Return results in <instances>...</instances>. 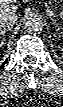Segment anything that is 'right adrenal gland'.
Segmentation results:
<instances>
[{"mask_svg": "<svg viewBox=\"0 0 63 107\" xmlns=\"http://www.w3.org/2000/svg\"><path fill=\"white\" fill-rule=\"evenodd\" d=\"M11 28H4L3 30H0V39H1V45L4 44L5 34L7 31H9Z\"/></svg>", "mask_w": 63, "mask_h": 107, "instance_id": "1", "label": "right adrenal gland"}]
</instances>
